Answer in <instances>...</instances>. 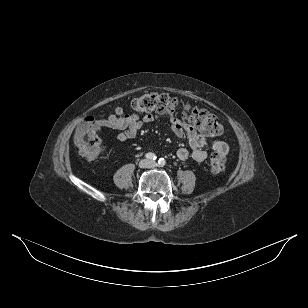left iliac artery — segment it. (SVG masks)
<instances>
[{"label":"left iliac artery","instance_id":"left-iliac-artery-1","mask_svg":"<svg viewBox=\"0 0 308 308\" xmlns=\"http://www.w3.org/2000/svg\"><path fill=\"white\" fill-rule=\"evenodd\" d=\"M158 163H159L160 166H164L166 164V161H165L164 158H160Z\"/></svg>","mask_w":308,"mask_h":308}]
</instances>
